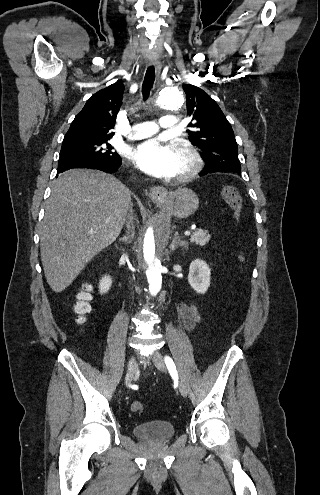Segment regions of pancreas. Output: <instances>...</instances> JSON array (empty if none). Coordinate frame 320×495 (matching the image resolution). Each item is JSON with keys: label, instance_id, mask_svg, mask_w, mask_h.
I'll list each match as a JSON object with an SVG mask.
<instances>
[{"label": "pancreas", "instance_id": "cf45deb5", "mask_svg": "<svg viewBox=\"0 0 320 495\" xmlns=\"http://www.w3.org/2000/svg\"><path fill=\"white\" fill-rule=\"evenodd\" d=\"M210 237L211 236L208 234V231L200 229L191 235L190 242L195 243L196 245L204 246L209 242Z\"/></svg>", "mask_w": 320, "mask_h": 495}]
</instances>
